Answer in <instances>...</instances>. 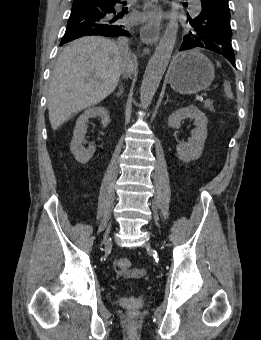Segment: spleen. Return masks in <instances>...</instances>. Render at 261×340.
Listing matches in <instances>:
<instances>
[{
	"instance_id": "spleen-1",
	"label": "spleen",
	"mask_w": 261,
	"mask_h": 340,
	"mask_svg": "<svg viewBox=\"0 0 261 340\" xmlns=\"http://www.w3.org/2000/svg\"><path fill=\"white\" fill-rule=\"evenodd\" d=\"M224 92H225V95L228 99L233 98V94H232V91H231L230 84L227 81H225V83H224Z\"/></svg>"
}]
</instances>
